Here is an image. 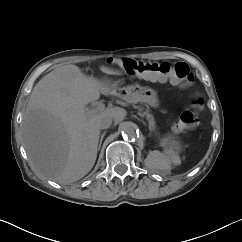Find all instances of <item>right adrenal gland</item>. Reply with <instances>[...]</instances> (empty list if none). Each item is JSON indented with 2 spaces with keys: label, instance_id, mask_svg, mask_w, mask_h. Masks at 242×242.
Masks as SVG:
<instances>
[{
  "label": "right adrenal gland",
  "instance_id": "2a0ac1e0",
  "mask_svg": "<svg viewBox=\"0 0 242 242\" xmlns=\"http://www.w3.org/2000/svg\"><path fill=\"white\" fill-rule=\"evenodd\" d=\"M104 136H105V132L103 134H101V136H100L98 150H100V148H101V145H102V141H103Z\"/></svg>",
  "mask_w": 242,
  "mask_h": 242
}]
</instances>
